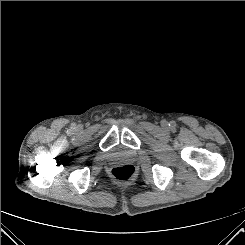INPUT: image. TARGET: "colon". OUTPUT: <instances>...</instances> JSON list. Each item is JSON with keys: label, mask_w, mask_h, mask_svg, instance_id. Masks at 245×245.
Returning <instances> with one entry per match:
<instances>
[{"label": "colon", "mask_w": 245, "mask_h": 245, "mask_svg": "<svg viewBox=\"0 0 245 245\" xmlns=\"http://www.w3.org/2000/svg\"><path fill=\"white\" fill-rule=\"evenodd\" d=\"M111 174L119 182H128L134 177L135 168L130 164H122L112 168Z\"/></svg>", "instance_id": "1"}]
</instances>
